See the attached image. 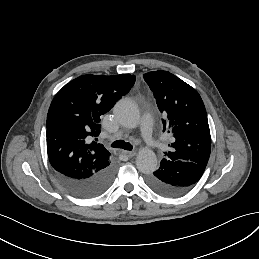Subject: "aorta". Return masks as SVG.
I'll return each instance as SVG.
<instances>
[{
  "instance_id": "1",
  "label": "aorta",
  "mask_w": 259,
  "mask_h": 259,
  "mask_svg": "<svg viewBox=\"0 0 259 259\" xmlns=\"http://www.w3.org/2000/svg\"><path fill=\"white\" fill-rule=\"evenodd\" d=\"M114 114L119 123L127 128H135L140 121L137 105L130 99L119 100L114 107ZM158 161L155 153L150 149H142L136 157L137 169L150 174L157 169Z\"/></svg>"
}]
</instances>
